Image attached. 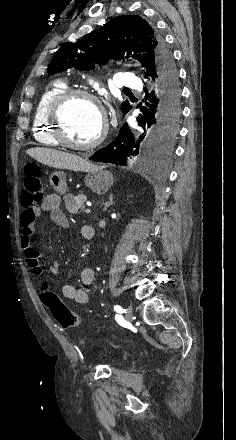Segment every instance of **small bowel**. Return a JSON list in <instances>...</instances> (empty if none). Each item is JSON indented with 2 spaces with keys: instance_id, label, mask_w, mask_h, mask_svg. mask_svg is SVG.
I'll return each instance as SVG.
<instances>
[{
  "instance_id": "1",
  "label": "small bowel",
  "mask_w": 236,
  "mask_h": 440,
  "mask_svg": "<svg viewBox=\"0 0 236 440\" xmlns=\"http://www.w3.org/2000/svg\"><path fill=\"white\" fill-rule=\"evenodd\" d=\"M41 212H49L51 220L59 227H67L68 225L67 218L61 208V197L57 194L47 195L39 206L25 209L21 213L20 244L28 260L29 267L35 275H40L43 272L40 252L32 243L33 236L36 232L35 221ZM94 234V229L91 232L86 229V226H83L81 229V237L84 239H91L94 237ZM49 271L54 274L57 273L59 271V264L57 262L51 264ZM80 278L83 284L90 285L95 279V273L91 268H83L80 273ZM62 293L66 298L81 305L87 304L89 301V294L85 289L77 288L70 283H65L62 286ZM40 300L43 306L49 309L44 302L42 293L40 294Z\"/></svg>"
}]
</instances>
